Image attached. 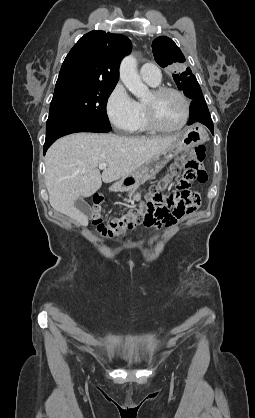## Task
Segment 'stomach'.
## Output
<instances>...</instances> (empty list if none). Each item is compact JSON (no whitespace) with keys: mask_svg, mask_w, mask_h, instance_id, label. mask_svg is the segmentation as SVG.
Instances as JSON below:
<instances>
[{"mask_svg":"<svg viewBox=\"0 0 255 418\" xmlns=\"http://www.w3.org/2000/svg\"><path fill=\"white\" fill-rule=\"evenodd\" d=\"M207 132L200 125L186 127L179 138L166 150L153 156L146 163L135 170L131 175L121 179L124 189H131L136 185L152 179L156 174L180 152L202 144L207 140Z\"/></svg>","mask_w":255,"mask_h":418,"instance_id":"0dacf381","label":"stomach"}]
</instances>
